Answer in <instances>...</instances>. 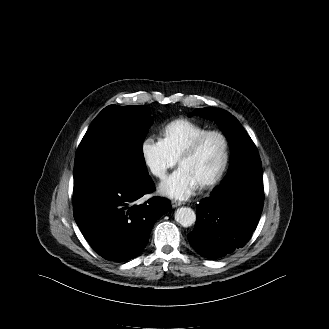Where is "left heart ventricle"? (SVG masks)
Here are the masks:
<instances>
[{
	"label": "left heart ventricle",
	"mask_w": 329,
	"mask_h": 329,
	"mask_svg": "<svg viewBox=\"0 0 329 329\" xmlns=\"http://www.w3.org/2000/svg\"><path fill=\"white\" fill-rule=\"evenodd\" d=\"M223 153L222 140L218 136H209L201 143L193 156L180 163V167L185 168L198 183H201L218 170Z\"/></svg>",
	"instance_id": "obj_1"
}]
</instances>
